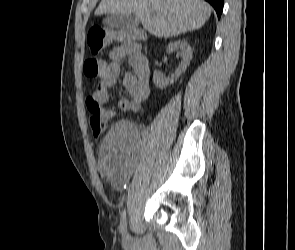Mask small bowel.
Returning a JSON list of instances; mask_svg holds the SVG:
<instances>
[{
  "mask_svg": "<svg viewBox=\"0 0 295 250\" xmlns=\"http://www.w3.org/2000/svg\"><path fill=\"white\" fill-rule=\"evenodd\" d=\"M109 57L110 62L104 63L100 80L90 97L101 106L107 104L109 91L120 76V63L127 60L132 71L124 75L123 84L129 98H121L118 107L123 111H138L150 90V70L146 57L140 47L132 49L126 44L113 48ZM136 151L137 132L127 122L114 125L104 138L99 151V167L115 188L120 189L131 176Z\"/></svg>",
  "mask_w": 295,
  "mask_h": 250,
  "instance_id": "obj_1",
  "label": "small bowel"
}]
</instances>
